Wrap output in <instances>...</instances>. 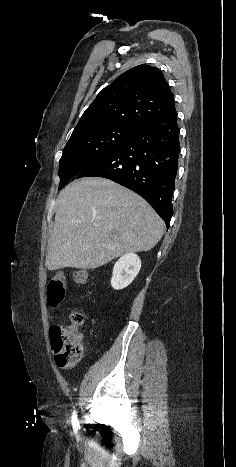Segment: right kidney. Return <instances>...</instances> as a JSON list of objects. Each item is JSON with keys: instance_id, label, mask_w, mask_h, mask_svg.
Returning <instances> with one entry per match:
<instances>
[{"instance_id": "right-kidney-1", "label": "right kidney", "mask_w": 236, "mask_h": 467, "mask_svg": "<svg viewBox=\"0 0 236 467\" xmlns=\"http://www.w3.org/2000/svg\"><path fill=\"white\" fill-rule=\"evenodd\" d=\"M141 268V260L134 253L123 255L114 265L111 286L116 290L127 287L137 276Z\"/></svg>"}]
</instances>
